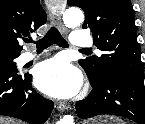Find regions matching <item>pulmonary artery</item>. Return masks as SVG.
<instances>
[{
  "label": "pulmonary artery",
  "mask_w": 145,
  "mask_h": 124,
  "mask_svg": "<svg viewBox=\"0 0 145 124\" xmlns=\"http://www.w3.org/2000/svg\"><path fill=\"white\" fill-rule=\"evenodd\" d=\"M92 45V37L90 36L89 32L86 30L76 29L73 31V35L71 38V46L77 48H88ZM100 53V52H98ZM37 57L36 54L32 52H25L20 56L21 63H27L32 61Z\"/></svg>",
  "instance_id": "obj_1"
}]
</instances>
